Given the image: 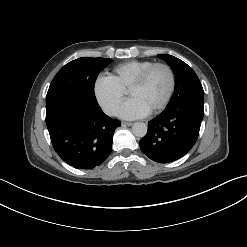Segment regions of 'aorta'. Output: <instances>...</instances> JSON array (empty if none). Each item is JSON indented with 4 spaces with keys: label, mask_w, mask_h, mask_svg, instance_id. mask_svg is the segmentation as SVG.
Here are the masks:
<instances>
[{
    "label": "aorta",
    "mask_w": 247,
    "mask_h": 247,
    "mask_svg": "<svg viewBox=\"0 0 247 247\" xmlns=\"http://www.w3.org/2000/svg\"><path fill=\"white\" fill-rule=\"evenodd\" d=\"M132 132L136 137H144L147 133V125L143 122H136L132 126Z\"/></svg>",
    "instance_id": "aorta-1"
}]
</instances>
